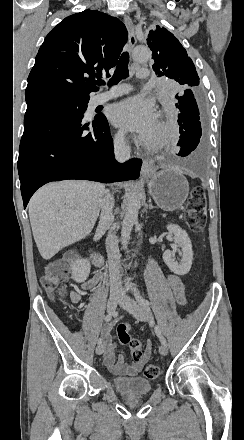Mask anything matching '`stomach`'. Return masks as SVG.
Returning <instances> with one entry per match:
<instances>
[{
    "mask_svg": "<svg viewBox=\"0 0 244 440\" xmlns=\"http://www.w3.org/2000/svg\"><path fill=\"white\" fill-rule=\"evenodd\" d=\"M147 178L149 194L161 210L173 212L183 206L188 194L189 184L183 172L174 168H152Z\"/></svg>",
    "mask_w": 244,
    "mask_h": 440,
    "instance_id": "0dacf381",
    "label": "stomach"
}]
</instances>
